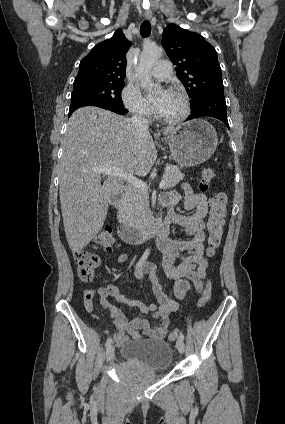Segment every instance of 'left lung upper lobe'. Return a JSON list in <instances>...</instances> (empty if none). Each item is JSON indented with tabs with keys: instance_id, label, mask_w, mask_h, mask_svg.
Returning <instances> with one entry per match:
<instances>
[{
	"instance_id": "5c2ea615",
	"label": "left lung upper lobe",
	"mask_w": 285,
	"mask_h": 424,
	"mask_svg": "<svg viewBox=\"0 0 285 424\" xmlns=\"http://www.w3.org/2000/svg\"><path fill=\"white\" fill-rule=\"evenodd\" d=\"M162 45L177 66L191 106L208 93L224 90L216 50L200 34L170 24L163 30Z\"/></svg>"
}]
</instances>
